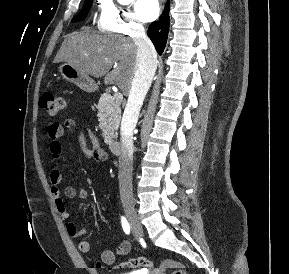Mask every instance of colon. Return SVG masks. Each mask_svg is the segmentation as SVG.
I'll return each mask as SVG.
<instances>
[{
    "mask_svg": "<svg viewBox=\"0 0 289 274\" xmlns=\"http://www.w3.org/2000/svg\"><path fill=\"white\" fill-rule=\"evenodd\" d=\"M40 106L50 115L58 114L64 107V99L50 92H45L40 98ZM152 268V261L146 257L131 258L116 265L114 269H130L133 271L147 272ZM172 270V274H187L185 267L172 260L161 262L158 271Z\"/></svg>",
    "mask_w": 289,
    "mask_h": 274,
    "instance_id": "colon-1",
    "label": "colon"
}]
</instances>
